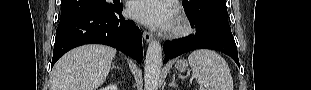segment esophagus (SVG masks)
<instances>
[{
	"label": "esophagus",
	"mask_w": 311,
	"mask_h": 90,
	"mask_svg": "<svg viewBox=\"0 0 311 90\" xmlns=\"http://www.w3.org/2000/svg\"><path fill=\"white\" fill-rule=\"evenodd\" d=\"M143 37L146 42H150L153 39V35L147 31L143 32Z\"/></svg>",
	"instance_id": "obj_1"
}]
</instances>
